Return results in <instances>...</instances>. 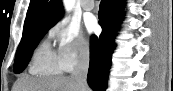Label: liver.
Listing matches in <instances>:
<instances>
[{
	"label": "liver",
	"mask_w": 173,
	"mask_h": 91,
	"mask_svg": "<svg viewBox=\"0 0 173 91\" xmlns=\"http://www.w3.org/2000/svg\"><path fill=\"white\" fill-rule=\"evenodd\" d=\"M12 91H80L71 77H20ZM87 91H90L87 88Z\"/></svg>",
	"instance_id": "liver-1"
}]
</instances>
